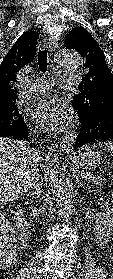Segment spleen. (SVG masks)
I'll list each match as a JSON object with an SVG mask.
<instances>
[{
	"instance_id": "spleen-1",
	"label": "spleen",
	"mask_w": 113,
	"mask_h": 279,
	"mask_svg": "<svg viewBox=\"0 0 113 279\" xmlns=\"http://www.w3.org/2000/svg\"><path fill=\"white\" fill-rule=\"evenodd\" d=\"M99 146L105 149H109L110 151L113 152V142H104V143H99Z\"/></svg>"
}]
</instances>
